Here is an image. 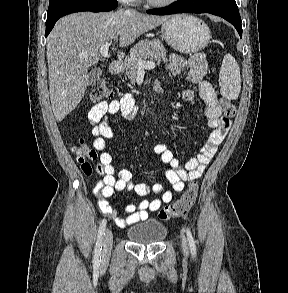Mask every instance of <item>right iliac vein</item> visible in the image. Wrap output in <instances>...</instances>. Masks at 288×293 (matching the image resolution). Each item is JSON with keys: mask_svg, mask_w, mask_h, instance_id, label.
Returning a JSON list of instances; mask_svg holds the SVG:
<instances>
[{"mask_svg": "<svg viewBox=\"0 0 288 293\" xmlns=\"http://www.w3.org/2000/svg\"><path fill=\"white\" fill-rule=\"evenodd\" d=\"M113 243V234L111 230L107 229L104 236V242H103V250H102V260H107L111 253Z\"/></svg>", "mask_w": 288, "mask_h": 293, "instance_id": "right-iliac-vein-1", "label": "right iliac vein"}]
</instances>
